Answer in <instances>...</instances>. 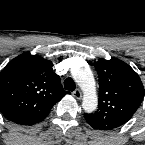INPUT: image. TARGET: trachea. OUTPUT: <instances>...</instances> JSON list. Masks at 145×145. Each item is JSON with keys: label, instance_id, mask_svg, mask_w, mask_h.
<instances>
[{"label": "trachea", "instance_id": "3493384b", "mask_svg": "<svg viewBox=\"0 0 145 145\" xmlns=\"http://www.w3.org/2000/svg\"><path fill=\"white\" fill-rule=\"evenodd\" d=\"M64 88L69 91H74L76 88L75 82L72 78L68 77L64 81Z\"/></svg>", "mask_w": 145, "mask_h": 145}]
</instances>
